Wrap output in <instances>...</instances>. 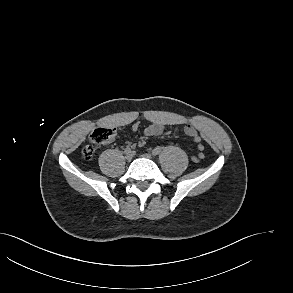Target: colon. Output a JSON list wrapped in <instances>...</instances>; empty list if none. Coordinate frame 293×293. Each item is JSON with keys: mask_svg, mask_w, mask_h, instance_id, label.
Masks as SVG:
<instances>
[{"mask_svg": "<svg viewBox=\"0 0 293 293\" xmlns=\"http://www.w3.org/2000/svg\"><path fill=\"white\" fill-rule=\"evenodd\" d=\"M116 135V131L112 127H99L95 129L90 135V142L86 144L82 150L81 154L84 160L91 161L99 146L111 142ZM203 153L199 154V158H203ZM194 162L198 161L197 157H193Z\"/></svg>", "mask_w": 293, "mask_h": 293, "instance_id": "obj_1", "label": "colon"}]
</instances>
